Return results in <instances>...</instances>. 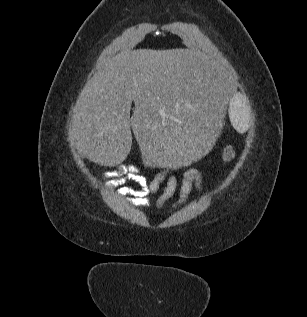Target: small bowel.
Instances as JSON below:
<instances>
[{
  "label": "small bowel",
  "mask_w": 307,
  "mask_h": 317,
  "mask_svg": "<svg viewBox=\"0 0 307 317\" xmlns=\"http://www.w3.org/2000/svg\"><path fill=\"white\" fill-rule=\"evenodd\" d=\"M121 167L122 169H125L127 177L140 186V190L137 192V199L134 202L143 207L150 206L151 203L147 196L156 193L162 183H165V187L162 194L155 202L157 208H161L174 195L178 187V180L171 170H159L155 177L149 181L146 178L143 169L138 165L128 163ZM111 177H113L112 172H106L103 175L104 180H108ZM193 188L200 190L202 188V179L201 174L197 169L190 168L186 170L183 175L180 184L179 197L172 207L177 208L184 204Z\"/></svg>",
  "instance_id": "obj_1"
}]
</instances>
